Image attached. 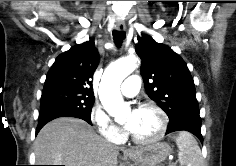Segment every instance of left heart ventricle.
I'll return each instance as SVG.
<instances>
[{
	"label": "left heart ventricle",
	"mask_w": 236,
	"mask_h": 166,
	"mask_svg": "<svg viewBox=\"0 0 236 166\" xmlns=\"http://www.w3.org/2000/svg\"><path fill=\"white\" fill-rule=\"evenodd\" d=\"M132 113H128L125 116V120L128 121L131 118ZM138 120L135 130L132 132L139 138H150L155 135L160 126V119L158 114L152 109L137 111Z\"/></svg>",
	"instance_id": "left-heart-ventricle-1"
}]
</instances>
